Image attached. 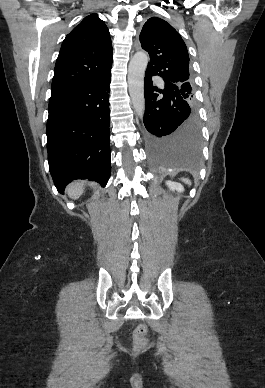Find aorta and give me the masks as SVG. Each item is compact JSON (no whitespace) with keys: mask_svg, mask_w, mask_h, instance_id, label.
<instances>
[{"mask_svg":"<svg viewBox=\"0 0 265 388\" xmlns=\"http://www.w3.org/2000/svg\"><path fill=\"white\" fill-rule=\"evenodd\" d=\"M149 57L145 52H137L128 67V86L133 107L139 117L145 113L144 75Z\"/></svg>","mask_w":265,"mask_h":388,"instance_id":"762f6f07","label":"aorta"}]
</instances>
